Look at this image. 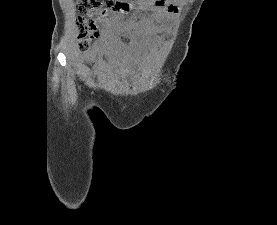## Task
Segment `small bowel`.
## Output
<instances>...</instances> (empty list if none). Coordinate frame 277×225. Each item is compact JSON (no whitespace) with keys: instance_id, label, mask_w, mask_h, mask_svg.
Masks as SVG:
<instances>
[{"instance_id":"1","label":"small bowel","mask_w":277,"mask_h":225,"mask_svg":"<svg viewBox=\"0 0 277 225\" xmlns=\"http://www.w3.org/2000/svg\"><path fill=\"white\" fill-rule=\"evenodd\" d=\"M177 5L162 1L152 14L126 19L120 12H109L99 19L101 28L100 50L109 54L120 66H128L161 42L159 33L169 28L177 14ZM120 36H128L124 43Z\"/></svg>"}]
</instances>
